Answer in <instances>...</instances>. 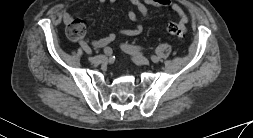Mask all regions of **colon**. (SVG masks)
Masks as SVG:
<instances>
[{"label":"colon","mask_w":253,"mask_h":138,"mask_svg":"<svg viewBox=\"0 0 253 138\" xmlns=\"http://www.w3.org/2000/svg\"><path fill=\"white\" fill-rule=\"evenodd\" d=\"M67 34L68 36L73 39V40H79L81 38H83L84 34H85V25L83 23L82 20L80 19H73L71 22H69L67 24ZM166 31L176 37V38H183L185 33H186V29L185 26L183 25V23L178 24V23H174V22H169L166 24Z\"/></svg>","instance_id":"1"}]
</instances>
